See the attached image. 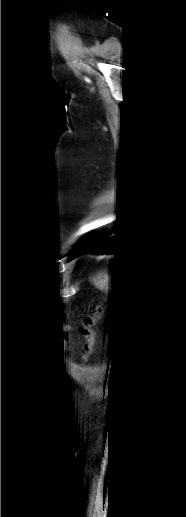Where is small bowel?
I'll return each mask as SVG.
<instances>
[{
  "label": "small bowel",
  "mask_w": 186,
  "mask_h": 517,
  "mask_svg": "<svg viewBox=\"0 0 186 517\" xmlns=\"http://www.w3.org/2000/svg\"><path fill=\"white\" fill-rule=\"evenodd\" d=\"M62 330H63V331H69V330H70V328H69L68 326H63V327H62Z\"/></svg>",
  "instance_id": "1"
}]
</instances>
